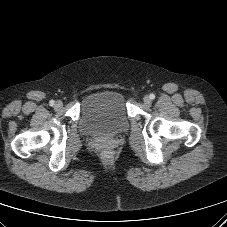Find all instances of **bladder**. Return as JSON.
I'll return each mask as SVG.
<instances>
[{
  "instance_id": "31cf9c89",
  "label": "bladder",
  "mask_w": 227,
  "mask_h": 227,
  "mask_svg": "<svg viewBox=\"0 0 227 227\" xmlns=\"http://www.w3.org/2000/svg\"><path fill=\"white\" fill-rule=\"evenodd\" d=\"M129 117L123 95L112 89L91 93L84 100L79 128L92 137H114L127 131Z\"/></svg>"
}]
</instances>
